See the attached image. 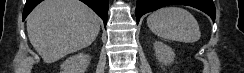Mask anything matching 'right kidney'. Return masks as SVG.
Listing matches in <instances>:
<instances>
[{
  "instance_id": "ca27d5eb",
  "label": "right kidney",
  "mask_w": 244,
  "mask_h": 73,
  "mask_svg": "<svg viewBox=\"0 0 244 73\" xmlns=\"http://www.w3.org/2000/svg\"><path fill=\"white\" fill-rule=\"evenodd\" d=\"M90 62V56L79 53L69 57L61 64V73H85Z\"/></svg>"
}]
</instances>
